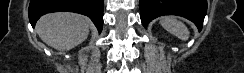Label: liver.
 Returning <instances> with one entry per match:
<instances>
[{
  "mask_svg": "<svg viewBox=\"0 0 244 73\" xmlns=\"http://www.w3.org/2000/svg\"><path fill=\"white\" fill-rule=\"evenodd\" d=\"M92 23L87 17L70 12H58L44 15L36 25L42 41L57 50H70L89 35Z\"/></svg>",
  "mask_w": 244,
  "mask_h": 73,
  "instance_id": "6515ba94",
  "label": "liver"
}]
</instances>
